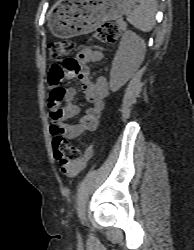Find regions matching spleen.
<instances>
[{"mask_svg": "<svg viewBox=\"0 0 194 250\" xmlns=\"http://www.w3.org/2000/svg\"><path fill=\"white\" fill-rule=\"evenodd\" d=\"M137 6L127 17V21L135 28L149 32L155 23V12L157 8L156 0H138Z\"/></svg>", "mask_w": 194, "mask_h": 250, "instance_id": "3e777b00", "label": "spleen"}]
</instances>
